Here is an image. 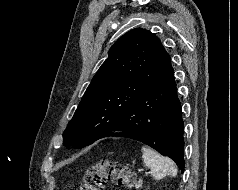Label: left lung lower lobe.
Listing matches in <instances>:
<instances>
[{
	"instance_id": "0a47b994",
	"label": "left lung lower lobe",
	"mask_w": 238,
	"mask_h": 190,
	"mask_svg": "<svg viewBox=\"0 0 238 190\" xmlns=\"http://www.w3.org/2000/svg\"><path fill=\"white\" fill-rule=\"evenodd\" d=\"M174 72L168 64L150 86L103 135L138 140L173 159L184 171V123Z\"/></svg>"
}]
</instances>
